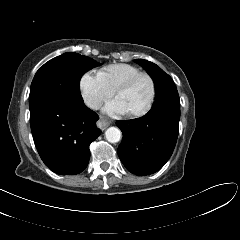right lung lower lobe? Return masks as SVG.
<instances>
[{
    "mask_svg": "<svg viewBox=\"0 0 240 240\" xmlns=\"http://www.w3.org/2000/svg\"><path fill=\"white\" fill-rule=\"evenodd\" d=\"M98 119L84 102H55L30 114L34 143L45 165L60 175L81 173L90 159V143L101 134Z\"/></svg>",
    "mask_w": 240,
    "mask_h": 240,
    "instance_id": "98d812e1",
    "label": "right lung lower lobe"
}]
</instances>
